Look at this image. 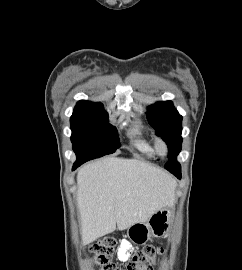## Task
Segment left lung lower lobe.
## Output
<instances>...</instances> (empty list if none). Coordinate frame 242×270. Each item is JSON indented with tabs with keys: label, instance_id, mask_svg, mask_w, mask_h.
I'll return each mask as SVG.
<instances>
[{
	"label": "left lung lower lobe",
	"instance_id": "0a47b994",
	"mask_svg": "<svg viewBox=\"0 0 242 270\" xmlns=\"http://www.w3.org/2000/svg\"><path fill=\"white\" fill-rule=\"evenodd\" d=\"M176 177L180 179L181 178V175H177Z\"/></svg>",
	"mask_w": 242,
	"mask_h": 270
}]
</instances>
